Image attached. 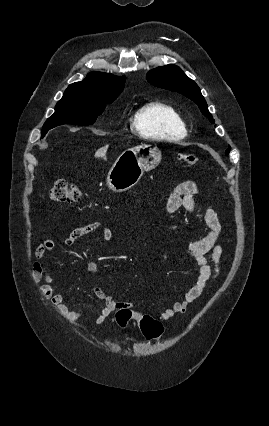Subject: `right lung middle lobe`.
<instances>
[{
    "instance_id": "dd1d6c3e",
    "label": "right lung middle lobe",
    "mask_w": 269,
    "mask_h": 426,
    "mask_svg": "<svg viewBox=\"0 0 269 426\" xmlns=\"http://www.w3.org/2000/svg\"><path fill=\"white\" fill-rule=\"evenodd\" d=\"M116 98L94 97L83 94H64L56 104L55 113L43 125L42 133L62 124H93L102 114L106 104Z\"/></svg>"
}]
</instances>
